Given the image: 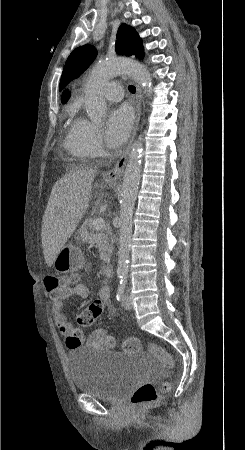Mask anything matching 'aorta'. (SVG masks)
Instances as JSON below:
<instances>
[{
  "label": "aorta",
  "instance_id": "obj_1",
  "mask_svg": "<svg viewBox=\"0 0 245 450\" xmlns=\"http://www.w3.org/2000/svg\"><path fill=\"white\" fill-rule=\"evenodd\" d=\"M121 73L128 74L134 81L142 85L146 93L151 92L152 79L147 68L141 63L128 58H117L97 63L92 69L85 88L87 115L95 124H101L106 115V102L102 92L104 83ZM142 151L143 142L139 138L132 145L121 191V227L118 243L117 273L124 279L128 276V259L133 225L132 216L141 178Z\"/></svg>",
  "mask_w": 245,
  "mask_h": 450
}]
</instances>
